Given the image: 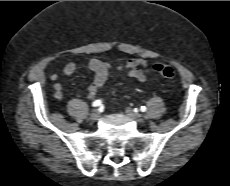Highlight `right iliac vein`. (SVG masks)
Returning a JSON list of instances; mask_svg holds the SVG:
<instances>
[{
	"label": "right iliac vein",
	"mask_w": 230,
	"mask_h": 186,
	"mask_svg": "<svg viewBox=\"0 0 230 186\" xmlns=\"http://www.w3.org/2000/svg\"><path fill=\"white\" fill-rule=\"evenodd\" d=\"M100 117V112L98 110H93L91 113H90V119L92 121H97Z\"/></svg>",
	"instance_id": "1"
}]
</instances>
